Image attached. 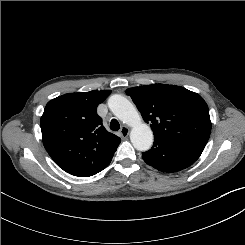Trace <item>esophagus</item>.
Listing matches in <instances>:
<instances>
[{
	"instance_id": "esophagus-1",
	"label": "esophagus",
	"mask_w": 245,
	"mask_h": 245,
	"mask_svg": "<svg viewBox=\"0 0 245 245\" xmlns=\"http://www.w3.org/2000/svg\"><path fill=\"white\" fill-rule=\"evenodd\" d=\"M129 128L127 126H122L120 129V136L126 138L129 135Z\"/></svg>"
}]
</instances>
